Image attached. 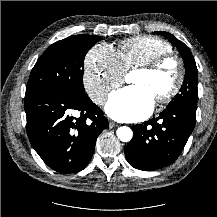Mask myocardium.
I'll return each instance as SVG.
<instances>
[{"label": "myocardium", "instance_id": "obj_1", "mask_svg": "<svg viewBox=\"0 0 217 217\" xmlns=\"http://www.w3.org/2000/svg\"><path fill=\"white\" fill-rule=\"evenodd\" d=\"M166 65H171L174 70V82L168 92L158 96L155 101L157 104H167L171 102L181 91L185 70L182 61L173 53L161 55L151 62L138 67V71L146 72L152 75L158 74Z\"/></svg>", "mask_w": 217, "mask_h": 217}]
</instances>
